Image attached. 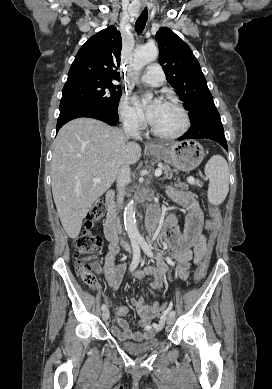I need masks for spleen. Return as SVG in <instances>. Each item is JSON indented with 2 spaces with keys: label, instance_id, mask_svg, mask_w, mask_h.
Masks as SVG:
<instances>
[{
  "label": "spleen",
  "instance_id": "spleen-1",
  "mask_svg": "<svg viewBox=\"0 0 272 389\" xmlns=\"http://www.w3.org/2000/svg\"><path fill=\"white\" fill-rule=\"evenodd\" d=\"M205 174L209 178L208 201L220 205L229 192V168L224 157L212 156L205 165Z\"/></svg>",
  "mask_w": 272,
  "mask_h": 389
}]
</instances>
